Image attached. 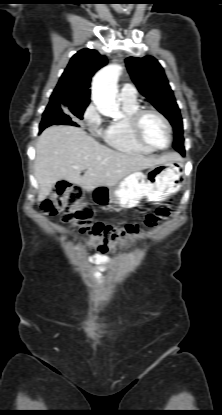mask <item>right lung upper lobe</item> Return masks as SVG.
I'll use <instances>...</instances> for the list:
<instances>
[{"instance_id":"1","label":"right lung upper lobe","mask_w":222,"mask_h":415,"mask_svg":"<svg viewBox=\"0 0 222 415\" xmlns=\"http://www.w3.org/2000/svg\"><path fill=\"white\" fill-rule=\"evenodd\" d=\"M106 64V57L94 49L77 52L60 77L49 104H89L91 78Z\"/></svg>"}]
</instances>
